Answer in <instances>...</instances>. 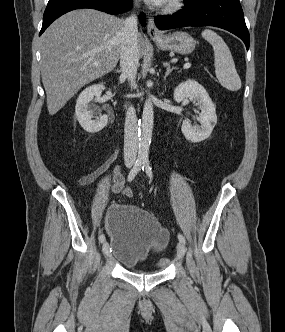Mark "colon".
<instances>
[{
  "mask_svg": "<svg viewBox=\"0 0 285 332\" xmlns=\"http://www.w3.org/2000/svg\"><path fill=\"white\" fill-rule=\"evenodd\" d=\"M168 262H169V260H168L167 258H162V259L159 261V265H166Z\"/></svg>",
  "mask_w": 285,
  "mask_h": 332,
  "instance_id": "colon-1",
  "label": "colon"
}]
</instances>
